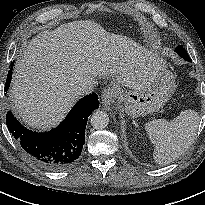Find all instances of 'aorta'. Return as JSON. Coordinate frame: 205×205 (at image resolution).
<instances>
[{"label": "aorta", "mask_w": 205, "mask_h": 205, "mask_svg": "<svg viewBox=\"0 0 205 205\" xmlns=\"http://www.w3.org/2000/svg\"><path fill=\"white\" fill-rule=\"evenodd\" d=\"M109 117L108 114L103 111H96L91 117V125L95 129H104L108 126Z\"/></svg>", "instance_id": "obj_1"}]
</instances>
